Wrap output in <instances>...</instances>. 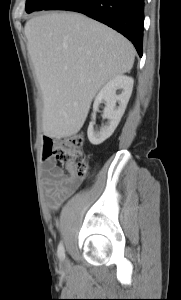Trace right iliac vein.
I'll return each mask as SVG.
<instances>
[{"label": "right iliac vein", "instance_id": "63e3f726", "mask_svg": "<svg viewBox=\"0 0 181 300\" xmlns=\"http://www.w3.org/2000/svg\"><path fill=\"white\" fill-rule=\"evenodd\" d=\"M60 267L62 270H67L69 268V262L67 259H63L60 263Z\"/></svg>", "mask_w": 181, "mask_h": 300}]
</instances>
